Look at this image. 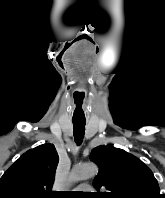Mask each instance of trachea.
<instances>
[{
    "label": "trachea",
    "mask_w": 165,
    "mask_h": 198,
    "mask_svg": "<svg viewBox=\"0 0 165 198\" xmlns=\"http://www.w3.org/2000/svg\"><path fill=\"white\" fill-rule=\"evenodd\" d=\"M74 138L77 144H80L84 138L85 133V121H72Z\"/></svg>",
    "instance_id": "1"
}]
</instances>
